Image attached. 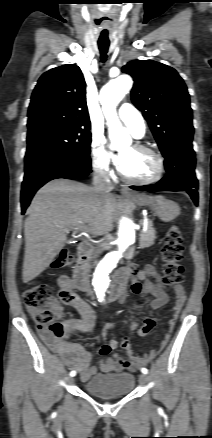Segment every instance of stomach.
<instances>
[{
  "label": "stomach",
  "mask_w": 212,
  "mask_h": 438,
  "mask_svg": "<svg viewBox=\"0 0 212 438\" xmlns=\"http://www.w3.org/2000/svg\"><path fill=\"white\" fill-rule=\"evenodd\" d=\"M129 201L138 205L149 206L154 211V214L164 222H169L180 214L179 205L171 200H167L163 196L141 194L131 197Z\"/></svg>",
  "instance_id": "1"
}]
</instances>
